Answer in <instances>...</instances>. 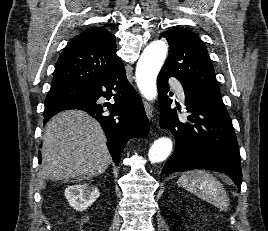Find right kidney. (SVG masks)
Returning <instances> with one entry per match:
<instances>
[{
	"label": "right kidney",
	"mask_w": 268,
	"mask_h": 231,
	"mask_svg": "<svg viewBox=\"0 0 268 231\" xmlns=\"http://www.w3.org/2000/svg\"><path fill=\"white\" fill-rule=\"evenodd\" d=\"M99 195L98 188L91 184H77L65 189V197L76 211L86 210L96 201Z\"/></svg>",
	"instance_id": "obj_1"
}]
</instances>
